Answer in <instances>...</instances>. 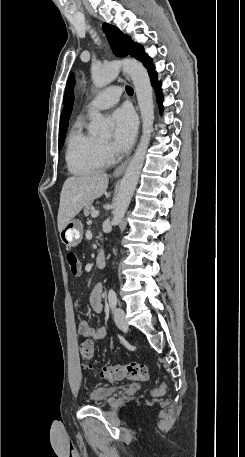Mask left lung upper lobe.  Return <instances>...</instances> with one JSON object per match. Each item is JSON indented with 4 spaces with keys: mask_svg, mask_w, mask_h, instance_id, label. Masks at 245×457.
<instances>
[{
    "mask_svg": "<svg viewBox=\"0 0 245 457\" xmlns=\"http://www.w3.org/2000/svg\"><path fill=\"white\" fill-rule=\"evenodd\" d=\"M103 30L107 35L108 41L112 47V50L116 56L124 57L131 55L138 60H141L146 54L143 51L141 45L134 43L132 39L123 34L117 27L110 24H103ZM73 83V77L70 76L67 82L66 92L64 96V101L67 98L69 89Z\"/></svg>",
    "mask_w": 245,
    "mask_h": 457,
    "instance_id": "5c2ea615",
    "label": "left lung upper lobe"
}]
</instances>
